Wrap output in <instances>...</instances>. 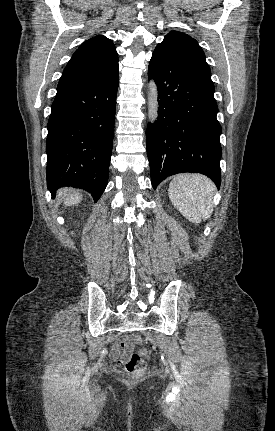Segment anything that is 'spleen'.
I'll return each mask as SVG.
<instances>
[{
  "label": "spleen",
  "mask_w": 275,
  "mask_h": 431,
  "mask_svg": "<svg viewBox=\"0 0 275 431\" xmlns=\"http://www.w3.org/2000/svg\"><path fill=\"white\" fill-rule=\"evenodd\" d=\"M214 183L201 174H180L169 185V198L190 222L198 224L213 212Z\"/></svg>",
  "instance_id": "obj_1"
}]
</instances>
